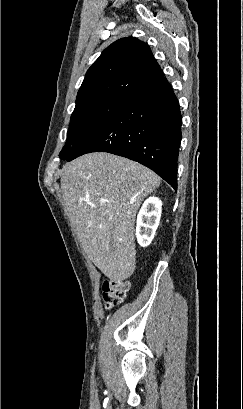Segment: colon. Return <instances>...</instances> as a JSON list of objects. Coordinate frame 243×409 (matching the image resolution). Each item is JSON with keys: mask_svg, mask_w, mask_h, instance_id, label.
I'll list each match as a JSON object with an SVG mask.
<instances>
[{"mask_svg": "<svg viewBox=\"0 0 243 409\" xmlns=\"http://www.w3.org/2000/svg\"><path fill=\"white\" fill-rule=\"evenodd\" d=\"M103 301L107 308L120 304L129 291V284L124 281L112 280L103 284Z\"/></svg>", "mask_w": 243, "mask_h": 409, "instance_id": "1", "label": "colon"}]
</instances>
